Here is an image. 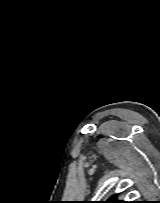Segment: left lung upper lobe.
<instances>
[{
  "label": "left lung upper lobe",
  "mask_w": 160,
  "mask_h": 203,
  "mask_svg": "<svg viewBox=\"0 0 160 203\" xmlns=\"http://www.w3.org/2000/svg\"><path fill=\"white\" fill-rule=\"evenodd\" d=\"M102 203H128V202L122 201V200H117L116 196H112L107 201L102 202Z\"/></svg>",
  "instance_id": "obj_1"
}]
</instances>
